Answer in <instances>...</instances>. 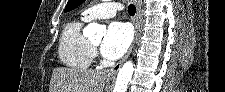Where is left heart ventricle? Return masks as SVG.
I'll return each instance as SVG.
<instances>
[{"mask_svg": "<svg viewBox=\"0 0 225 92\" xmlns=\"http://www.w3.org/2000/svg\"><path fill=\"white\" fill-rule=\"evenodd\" d=\"M94 44H95V45H97V44H98V42H95Z\"/></svg>", "mask_w": 225, "mask_h": 92, "instance_id": "1", "label": "left heart ventricle"}]
</instances>
